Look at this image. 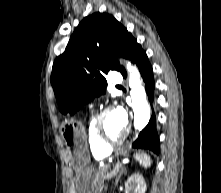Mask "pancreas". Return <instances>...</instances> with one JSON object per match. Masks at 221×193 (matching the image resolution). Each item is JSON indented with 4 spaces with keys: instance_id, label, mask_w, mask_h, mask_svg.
<instances>
[{
    "instance_id": "pancreas-1",
    "label": "pancreas",
    "mask_w": 221,
    "mask_h": 193,
    "mask_svg": "<svg viewBox=\"0 0 221 193\" xmlns=\"http://www.w3.org/2000/svg\"><path fill=\"white\" fill-rule=\"evenodd\" d=\"M109 169H110V166H103L97 170L96 175H95V183H96L95 193H100L102 189L104 188L105 176Z\"/></svg>"
}]
</instances>
